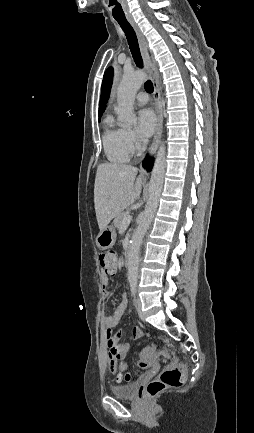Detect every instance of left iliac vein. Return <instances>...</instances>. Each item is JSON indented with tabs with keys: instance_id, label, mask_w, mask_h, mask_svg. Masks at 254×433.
<instances>
[{
	"instance_id": "1",
	"label": "left iliac vein",
	"mask_w": 254,
	"mask_h": 433,
	"mask_svg": "<svg viewBox=\"0 0 254 433\" xmlns=\"http://www.w3.org/2000/svg\"><path fill=\"white\" fill-rule=\"evenodd\" d=\"M133 303L136 307V310L139 314L140 318H143V313H142V306H141V300L139 297H134Z\"/></svg>"
}]
</instances>
